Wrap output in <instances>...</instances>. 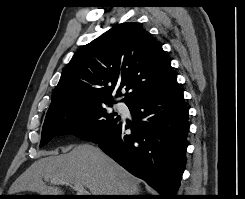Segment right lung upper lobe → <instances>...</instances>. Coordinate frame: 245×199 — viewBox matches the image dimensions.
<instances>
[{"mask_svg": "<svg viewBox=\"0 0 245 199\" xmlns=\"http://www.w3.org/2000/svg\"><path fill=\"white\" fill-rule=\"evenodd\" d=\"M161 44L138 23H121L81 47L63 69L46 116L78 104L123 101L159 93L176 82Z\"/></svg>", "mask_w": 245, "mask_h": 199, "instance_id": "cb5924a9", "label": "right lung upper lobe"}]
</instances>
